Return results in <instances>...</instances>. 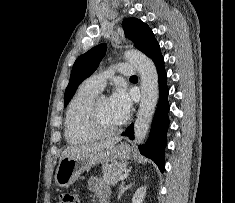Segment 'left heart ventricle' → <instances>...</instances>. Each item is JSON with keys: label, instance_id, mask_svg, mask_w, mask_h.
I'll return each instance as SVG.
<instances>
[{"label": "left heart ventricle", "instance_id": "1", "mask_svg": "<svg viewBox=\"0 0 235 203\" xmlns=\"http://www.w3.org/2000/svg\"><path fill=\"white\" fill-rule=\"evenodd\" d=\"M99 118L102 125L108 129L117 127L124 120L112 108L107 98H102L99 102Z\"/></svg>", "mask_w": 235, "mask_h": 203}]
</instances>
